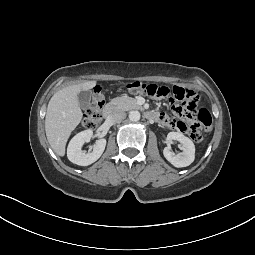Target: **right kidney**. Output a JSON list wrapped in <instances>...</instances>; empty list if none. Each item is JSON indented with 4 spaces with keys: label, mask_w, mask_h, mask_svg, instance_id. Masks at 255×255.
I'll list each match as a JSON object with an SVG mask.
<instances>
[{
    "label": "right kidney",
    "mask_w": 255,
    "mask_h": 255,
    "mask_svg": "<svg viewBox=\"0 0 255 255\" xmlns=\"http://www.w3.org/2000/svg\"><path fill=\"white\" fill-rule=\"evenodd\" d=\"M92 136V130H85L71 139L67 148V157L72 163L88 166L97 161L103 154L106 146V139L104 138L96 140L91 153L82 151L84 143L89 142Z\"/></svg>",
    "instance_id": "1"
}]
</instances>
